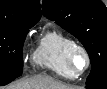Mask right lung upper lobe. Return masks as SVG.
Here are the masks:
<instances>
[{
	"mask_svg": "<svg viewBox=\"0 0 107 89\" xmlns=\"http://www.w3.org/2000/svg\"><path fill=\"white\" fill-rule=\"evenodd\" d=\"M40 18L39 0H0V22L34 26Z\"/></svg>",
	"mask_w": 107,
	"mask_h": 89,
	"instance_id": "right-lung-upper-lobe-1",
	"label": "right lung upper lobe"
}]
</instances>
